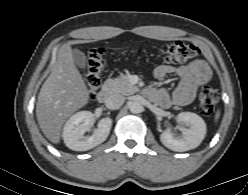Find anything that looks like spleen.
<instances>
[{
	"mask_svg": "<svg viewBox=\"0 0 248 195\" xmlns=\"http://www.w3.org/2000/svg\"><path fill=\"white\" fill-rule=\"evenodd\" d=\"M219 118V112H217L216 116H215V120H218Z\"/></svg>",
	"mask_w": 248,
	"mask_h": 195,
	"instance_id": "spleen-1",
	"label": "spleen"
}]
</instances>
